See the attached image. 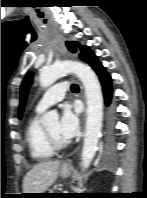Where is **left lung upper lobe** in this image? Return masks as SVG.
Instances as JSON below:
<instances>
[{"instance_id":"left-lung-upper-lobe-1","label":"left lung upper lobe","mask_w":147,"mask_h":198,"mask_svg":"<svg viewBox=\"0 0 147 198\" xmlns=\"http://www.w3.org/2000/svg\"><path fill=\"white\" fill-rule=\"evenodd\" d=\"M66 45L68 47V49L75 53L76 52V47L79 46L76 42H66ZM88 50L87 46H84L81 53L79 54V57L83 60L86 51ZM33 78V73L29 72L26 77L24 78L22 85H21V98H20V106H19V118L22 117L23 111H24V106L26 103V98H27V94H28V90L30 88V85L32 83V79Z\"/></svg>"}]
</instances>
